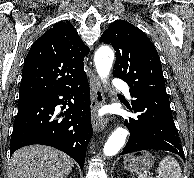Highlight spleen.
<instances>
[{
  "label": "spleen",
  "instance_id": "spleen-1",
  "mask_svg": "<svg viewBox=\"0 0 194 178\" xmlns=\"http://www.w3.org/2000/svg\"><path fill=\"white\" fill-rule=\"evenodd\" d=\"M157 173H158L157 178H183L182 170L177 160L170 155H167L161 160L159 167L157 168ZM138 178H152V177H148L147 175L140 173L138 175Z\"/></svg>",
  "mask_w": 194,
  "mask_h": 178
}]
</instances>
